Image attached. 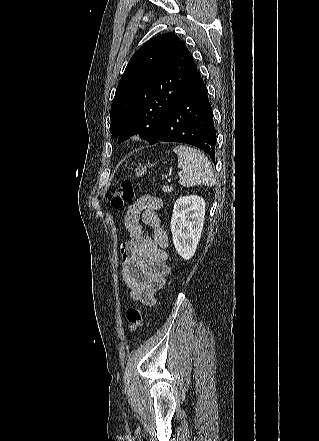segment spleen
Instances as JSON below:
<instances>
[{"label": "spleen", "instance_id": "spleen-1", "mask_svg": "<svg viewBox=\"0 0 319 441\" xmlns=\"http://www.w3.org/2000/svg\"><path fill=\"white\" fill-rule=\"evenodd\" d=\"M173 152L178 156V168L183 173L179 180L180 185L193 187L215 184L214 171L208 158L201 151L187 145H179Z\"/></svg>", "mask_w": 319, "mask_h": 441}]
</instances>
